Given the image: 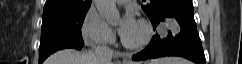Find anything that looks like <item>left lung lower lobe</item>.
Listing matches in <instances>:
<instances>
[{"label": "left lung lower lobe", "mask_w": 242, "mask_h": 64, "mask_svg": "<svg viewBox=\"0 0 242 64\" xmlns=\"http://www.w3.org/2000/svg\"><path fill=\"white\" fill-rule=\"evenodd\" d=\"M168 19L177 21L181 28L180 33L174 35L169 31L166 38L153 36L149 45L140 53L133 55L132 59L141 61L165 56H181L196 64H205L206 59L194 20L192 1L166 10L152 22L154 29Z\"/></svg>", "instance_id": "0a47b994"}]
</instances>
